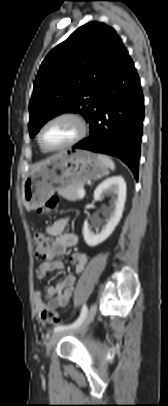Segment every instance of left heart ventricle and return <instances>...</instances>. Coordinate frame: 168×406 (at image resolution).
Masks as SVG:
<instances>
[{
	"instance_id": "obj_1",
	"label": "left heart ventricle",
	"mask_w": 168,
	"mask_h": 406,
	"mask_svg": "<svg viewBox=\"0 0 168 406\" xmlns=\"http://www.w3.org/2000/svg\"><path fill=\"white\" fill-rule=\"evenodd\" d=\"M78 132L77 125L70 120H59L49 124L42 133L43 143L48 147H59L68 143Z\"/></svg>"
}]
</instances>
